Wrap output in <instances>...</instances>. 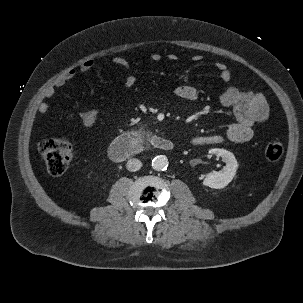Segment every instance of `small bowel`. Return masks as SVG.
I'll return each mask as SVG.
<instances>
[{"label":"small bowel","mask_w":303,"mask_h":303,"mask_svg":"<svg viewBox=\"0 0 303 303\" xmlns=\"http://www.w3.org/2000/svg\"><path fill=\"white\" fill-rule=\"evenodd\" d=\"M151 61L158 63L162 60V55L159 53H152L150 55ZM169 61H176L177 55L170 54L167 56ZM192 60L194 62H201L202 56L195 55ZM113 62L125 70L128 74L123 82L124 89H131L136 84V77L132 72L130 62L123 57H115ZM94 67L92 60L84 61L80 66L81 72H88ZM219 72L221 80L226 83L221 95L220 101L222 105L232 108L234 114V122L231 123L223 134H214L209 136L195 137L191 140L194 146H206L220 144L225 141L233 143H244L249 141L254 134V127L257 124L263 123L269 116V107L265 97L262 94L253 92L248 89L239 88L231 84L232 74L224 62H217L215 64ZM77 74L75 69L65 72L59 77L54 84L45 91V97L49 98L55 94V89L62 87L65 83L73 79ZM175 94L184 100H195L198 96L197 89L189 84H182L175 88ZM49 106L42 102L39 104L37 111L44 115L48 112ZM75 116L69 115L66 120H71Z\"/></svg>","instance_id":"obj_1"}]
</instances>
